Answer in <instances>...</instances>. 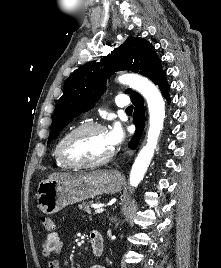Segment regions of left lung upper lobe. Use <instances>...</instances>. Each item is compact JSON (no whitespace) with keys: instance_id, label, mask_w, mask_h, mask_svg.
<instances>
[{"instance_id":"obj_1","label":"left lung upper lobe","mask_w":221,"mask_h":268,"mask_svg":"<svg viewBox=\"0 0 221 268\" xmlns=\"http://www.w3.org/2000/svg\"><path fill=\"white\" fill-rule=\"evenodd\" d=\"M140 73L158 84L165 78L154 47L143 38H128L100 62H90L75 70L66 80L63 95L56 104L48 143L77 115L90 110L104 92L106 79L116 71ZM130 98L139 95L126 90Z\"/></svg>"}]
</instances>
